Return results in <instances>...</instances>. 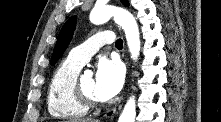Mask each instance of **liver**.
<instances>
[{"instance_id":"obj_1","label":"liver","mask_w":221,"mask_h":122,"mask_svg":"<svg viewBox=\"0 0 221 122\" xmlns=\"http://www.w3.org/2000/svg\"><path fill=\"white\" fill-rule=\"evenodd\" d=\"M70 122H98V121L87 118V119H76V120H72Z\"/></svg>"}]
</instances>
